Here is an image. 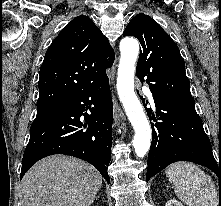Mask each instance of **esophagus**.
Masks as SVG:
<instances>
[{"label":"esophagus","mask_w":221,"mask_h":206,"mask_svg":"<svg viewBox=\"0 0 221 206\" xmlns=\"http://www.w3.org/2000/svg\"><path fill=\"white\" fill-rule=\"evenodd\" d=\"M114 73H115V69H113V78L112 79H114ZM114 121H115L116 124H118L119 121H120L119 115H118L116 110L114 111Z\"/></svg>","instance_id":"1"}]
</instances>
